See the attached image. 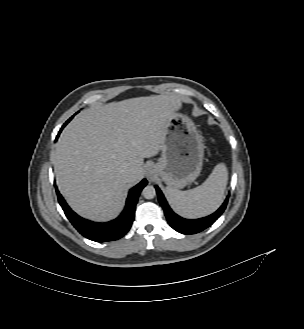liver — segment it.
Segmentation results:
<instances>
[{"label": "liver", "instance_id": "obj_1", "mask_svg": "<svg viewBox=\"0 0 304 329\" xmlns=\"http://www.w3.org/2000/svg\"><path fill=\"white\" fill-rule=\"evenodd\" d=\"M174 95L137 97L83 110L56 145V183L82 217L107 221L121 211L124 190L144 175V158L158 154L169 118L181 107ZM128 168L124 179L120 173Z\"/></svg>", "mask_w": 304, "mask_h": 329}]
</instances>
